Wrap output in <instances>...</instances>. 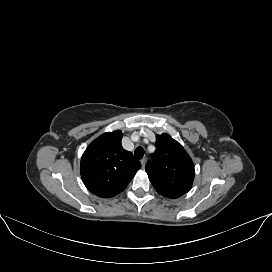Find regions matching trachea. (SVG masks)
<instances>
[{
    "label": "trachea",
    "mask_w": 272,
    "mask_h": 272,
    "mask_svg": "<svg viewBox=\"0 0 272 272\" xmlns=\"http://www.w3.org/2000/svg\"><path fill=\"white\" fill-rule=\"evenodd\" d=\"M134 156L137 159H141L144 156V149L142 147H137L134 151Z\"/></svg>",
    "instance_id": "3493384b"
}]
</instances>
